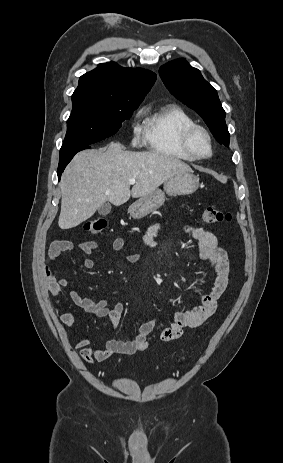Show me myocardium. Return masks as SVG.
<instances>
[{"label": "myocardium", "instance_id": "1", "mask_svg": "<svg viewBox=\"0 0 283 463\" xmlns=\"http://www.w3.org/2000/svg\"><path fill=\"white\" fill-rule=\"evenodd\" d=\"M205 136L209 146V152L207 154H200L194 146V138L197 134ZM183 148L189 153L194 159H207L213 153V139L211 133L203 126L194 124L187 128L182 135Z\"/></svg>", "mask_w": 283, "mask_h": 463}]
</instances>
